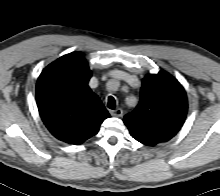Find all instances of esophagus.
I'll return each instance as SVG.
<instances>
[{
    "instance_id": "obj_1",
    "label": "esophagus",
    "mask_w": 220,
    "mask_h": 196,
    "mask_svg": "<svg viewBox=\"0 0 220 196\" xmlns=\"http://www.w3.org/2000/svg\"><path fill=\"white\" fill-rule=\"evenodd\" d=\"M110 114L112 116H115V117H122L123 116V110L121 108H117L115 110H111Z\"/></svg>"
}]
</instances>
